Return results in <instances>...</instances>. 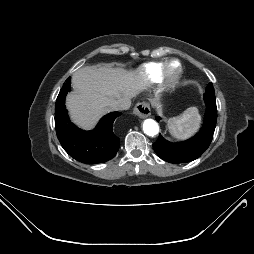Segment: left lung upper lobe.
<instances>
[{"instance_id":"1","label":"left lung upper lobe","mask_w":254,"mask_h":254,"mask_svg":"<svg viewBox=\"0 0 254 254\" xmlns=\"http://www.w3.org/2000/svg\"><path fill=\"white\" fill-rule=\"evenodd\" d=\"M206 89H209V90H214V88H213V84H212V83H209Z\"/></svg>"}]
</instances>
